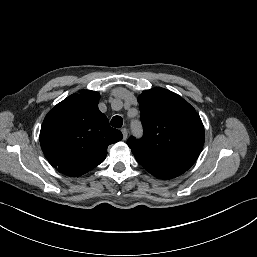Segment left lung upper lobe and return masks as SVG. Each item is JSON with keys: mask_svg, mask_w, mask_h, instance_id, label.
I'll return each instance as SVG.
<instances>
[{"mask_svg": "<svg viewBox=\"0 0 257 257\" xmlns=\"http://www.w3.org/2000/svg\"><path fill=\"white\" fill-rule=\"evenodd\" d=\"M138 102L144 136L127 141L136 160L147 171L188 170L204 144L199 114L181 96L164 88L144 91Z\"/></svg>", "mask_w": 257, "mask_h": 257, "instance_id": "obj_1", "label": "left lung upper lobe"}]
</instances>
